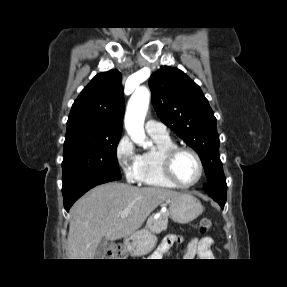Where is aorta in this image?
I'll use <instances>...</instances> for the list:
<instances>
[{"label": "aorta", "mask_w": 287, "mask_h": 287, "mask_svg": "<svg viewBox=\"0 0 287 287\" xmlns=\"http://www.w3.org/2000/svg\"><path fill=\"white\" fill-rule=\"evenodd\" d=\"M150 102V91L141 87L136 89L129 99L125 113V129L133 142L142 147H147L144 130L145 116Z\"/></svg>", "instance_id": "aorta-1"}]
</instances>
